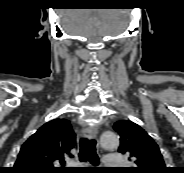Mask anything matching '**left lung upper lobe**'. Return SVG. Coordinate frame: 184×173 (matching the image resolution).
<instances>
[{"label": "left lung upper lobe", "mask_w": 184, "mask_h": 173, "mask_svg": "<svg viewBox=\"0 0 184 173\" xmlns=\"http://www.w3.org/2000/svg\"><path fill=\"white\" fill-rule=\"evenodd\" d=\"M120 134L119 152L129 156L133 167L122 168V173H166L167 167L155 141L137 124L121 120L114 124Z\"/></svg>", "instance_id": "1"}]
</instances>
